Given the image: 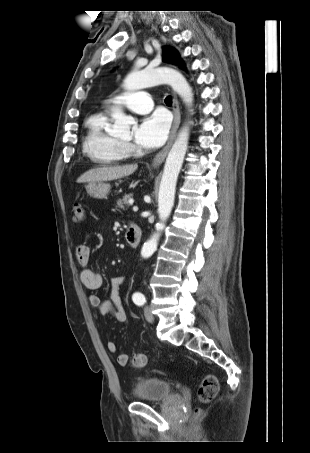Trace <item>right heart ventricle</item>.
<instances>
[{
  "mask_svg": "<svg viewBox=\"0 0 310 453\" xmlns=\"http://www.w3.org/2000/svg\"><path fill=\"white\" fill-rule=\"evenodd\" d=\"M108 124L105 112L94 113L85 122L83 152L93 163L99 165L117 164L127 156L125 145L108 132Z\"/></svg>",
  "mask_w": 310,
  "mask_h": 453,
  "instance_id": "e07e8e85",
  "label": "right heart ventricle"
}]
</instances>
